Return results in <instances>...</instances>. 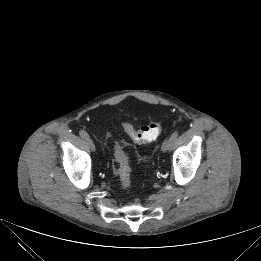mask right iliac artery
I'll use <instances>...</instances> for the list:
<instances>
[{"label":"right iliac artery","instance_id":"right-iliac-artery-1","mask_svg":"<svg viewBox=\"0 0 261 261\" xmlns=\"http://www.w3.org/2000/svg\"><path fill=\"white\" fill-rule=\"evenodd\" d=\"M79 134H80V136H81L82 138H84V139L89 138L88 133H87L86 131H84V130H81V131L79 132Z\"/></svg>","mask_w":261,"mask_h":261}]
</instances>
